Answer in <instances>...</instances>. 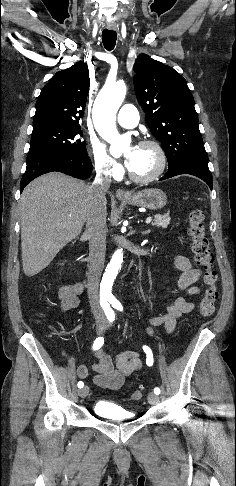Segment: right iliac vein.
<instances>
[{"label": "right iliac vein", "mask_w": 236, "mask_h": 486, "mask_svg": "<svg viewBox=\"0 0 236 486\" xmlns=\"http://www.w3.org/2000/svg\"><path fill=\"white\" fill-rule=\"evenodd\" d=\"M106 327V320L105 319H98L96 321V330L98 332V334H101L104 329ZM89 393V387L88 386H85L83 388H81L80 390H78V395L81 397V398H85Z\"/></svg>", "instance_id": "1"}]
</instances>
